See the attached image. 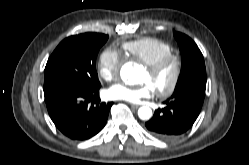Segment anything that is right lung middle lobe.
<instances>
[{
    "instance_id": "obj_1",
    "label": "right lung middle lobe",
    "mask_w": 249,
    "mask_h": 165,
    "mask_svg": "<svg viewBox=\"0 0 249 165\" xmlns=\"http://www.w3.org/2000/svg\"><path fill=\"white\" fill-rule=\"evenodd\" d=\"M108 35L84 33L64 39L54 50L45 67L44 82L53 81L94 89L100 85L95 61Z\"/></svg>"
}]
</instances>
